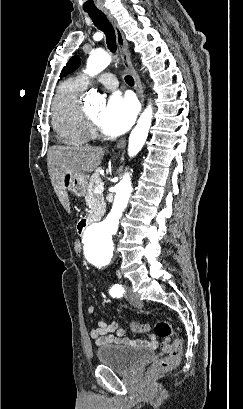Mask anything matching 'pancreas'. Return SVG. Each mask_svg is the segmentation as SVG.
Returning a JSON list of instances; mask_svg holds the SVG:
<instances>
[{
    "label": "pancreas",
    "mask_w": 243,
    "mask_h": 409,
    "mask_svg": "<svg viewBox=\"0 0 243 409\" xmlns=\"http://www.w3.org/2000/svg\"><path fill=\"white\" fill-rule=\"evenodd\" d=\"M99 171L100 169L96 170V172L91 176L90 183L87 187V193L85 195L86 205L90 208L89 216L96 220L101 219L106 208L103 195L95 193V188L101 183Z\"/></svg>",
    "instance_id": "1"
}]
</instances>
